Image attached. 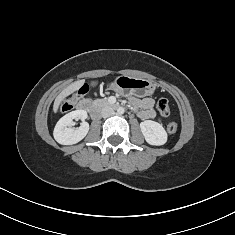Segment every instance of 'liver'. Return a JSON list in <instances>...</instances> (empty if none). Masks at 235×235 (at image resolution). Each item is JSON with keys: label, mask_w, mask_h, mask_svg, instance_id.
<instances>
[{"label": "liver", "mask_w": 235, "mask_h": 235, "mask_svg": "<svg viewBox=\"0 0 235 235\" xmlns=\"http://www.w3.org/2000/svg\"><path fill=\"white\" fill-rule=\"evenodd\" d=\"M84 82H85L84 80L76 81V82L70 84L64 90H62V92L56 97V99L54 101V105H53L54 113H57L58 108H59L60 104L62 103V101L66 97H68L70 94L77 91L84 84Z\"/></svg>", "instance_id": "1"}]
</instances>
